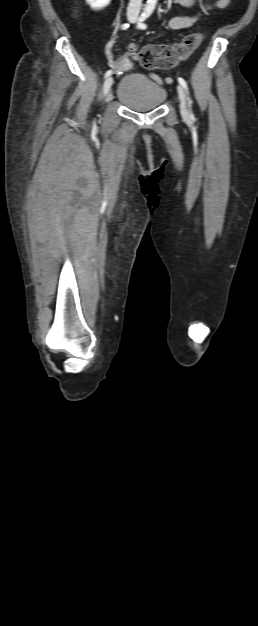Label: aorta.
I'll list each match as a JSON object with an SVG mask.
<instances>
[{
    "label": "aorta",
    "instance_id": "aorta-1",
    "mask_svg": "<svg viewBox=\"0 0 258 626\" xmlns=\"http://www.w3.org/2000/svg\"><path fill=\"white\" fill-rule=\"evenodd\" d=\"M157 0H148L147 9H154Z\"/></svg>",
    "mask_w": 258,
    "mask_h": 626
}]
</instances>
